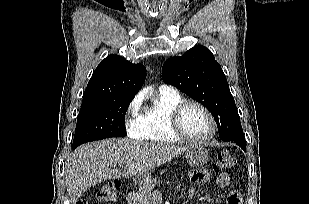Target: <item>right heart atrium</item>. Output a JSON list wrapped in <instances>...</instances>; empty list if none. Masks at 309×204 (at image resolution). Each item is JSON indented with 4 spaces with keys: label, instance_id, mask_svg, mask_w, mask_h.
<instances>
[{
    "label": "right heart atrium",
    "instance_id": "right-heart-atrium-1",
    "mask_svg": "<svg viewBox=\"0 0 309 204\" xmlns=\"http://www.w3.org/2000/svg\"><path fill=\"white\" fill-rule=\"evenodd\" d=\"M140 108V97H135L132 99L127 108L126 129L129 136L133 138H140L142 135Z\"/></svg>",
    "mask_w": 309,
    "mask_h": 204
}]
</instances>
